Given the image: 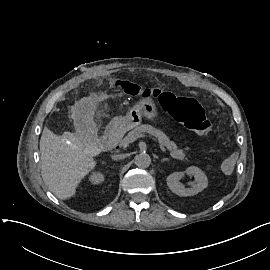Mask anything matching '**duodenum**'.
<instances>
[{
	"label": "duodenum",
	"instance_id": "duodenum-1",
	"mask_svg": "<svg viewBox=\"0 0 270 270\" xmlns=\"http://www.w3.org/2000/svg\"><path fill=\"white\" fill-rule=\"evenodd\" d=\"M125 128H126V123L123 120H116L112 122L108 126L105 133V137H104L105 144L109 148L116 147L119 144L121 138L123 137Z\"/></svg>",
	"mask_w": 270,
	"mask_h": 270
}]
</instances>
